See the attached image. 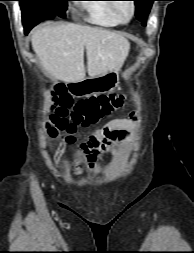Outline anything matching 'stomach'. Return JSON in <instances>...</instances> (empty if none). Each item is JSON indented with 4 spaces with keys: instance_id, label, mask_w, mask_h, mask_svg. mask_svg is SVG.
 Segmentation results:
<instances>
[{
    "instance_id": "1",
    "label": "stomach",
    "mask_w": 194,
    "mask_h": 253,
    "mask_svg": "<svg viewBox=\"0 0 194 253\" xmlns=\"http://www.w3.org/2000/svg\"><path fill=\"white\" fill-rule=\"evenodd\" d=\"M119 82V70L85 78L81 81L69 83L70 93L76 97H88L92 94H100L112 91Z\"/></svg>"
}]
</instances>
